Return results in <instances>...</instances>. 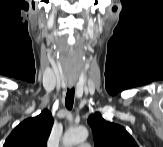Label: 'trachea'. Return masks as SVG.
<instances>
[{
	"label": "trachea",
	"mask_w": 163,
	"mask_h": 147,
	"mask_svg": "<svg viewBox=\"0 0 163 147\" xmlns=\"http://www.w3.org/2000/svg\"><path fill=\"white\" fill-rule=\"evenodd\" d=\"M74 93H75L74 87H72L71 89H67L65 105L68 110H71L73 107Z\"/></svg>",
	"instance_id": "trachea-1"
}]
</instances>
